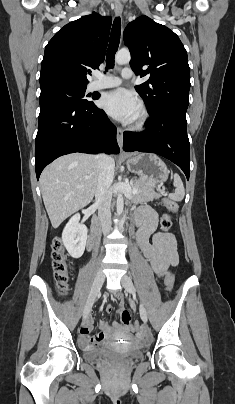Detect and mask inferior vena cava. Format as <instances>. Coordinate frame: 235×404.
Returning a JSON list of instances; mask_svg holds the SVG:
<instances>
[{
  "label": "inferior vena cava",
  "mask_w": 235,
  "mask_h": 404,
  "mask_svg": "<svg viewBox=\"0 0 235 404\" xmlns=\"http://www.w3.org/2000/svg\"><path fill=\"white\" fill-rule=\"evenodd\" d=\"M114 160L106 154L98 155V181L95 193L98 217L101 222L103 234L109 233L111 228V185L114 178Z\"/></svg>",
  "instance_id": "1"
}]
</instances>
